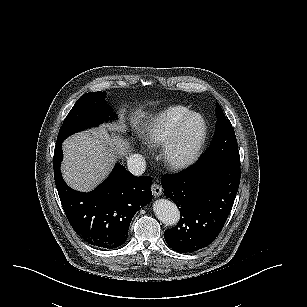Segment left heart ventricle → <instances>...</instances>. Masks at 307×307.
<instances>
[{
	"mask_svg": "<svg viewBox=\"0 0 307 307\" xmlns=\"http://www.w3.org/2000/svg\"><path fill=\"white\" fill-rule=\"evenodd\" d=\"M187 129H189L188 127L187 128H185V130H187ZM198 141V139H196V141L195 142H197Z\"/></svg>",
	"mask_w": 307,
	"mask_h": 307,
	"instance_id": "1",
	"label": "left heart ventricle"
}]
</instances>
